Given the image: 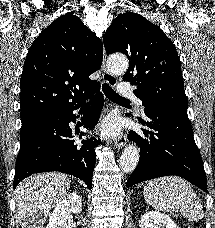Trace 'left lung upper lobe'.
<instances>
[{"instance_id": "left-lung-upper-lobe-1", "label": "left lung upper lobe", "mask_w": 215, "mask_h": 228, "mask_svg": "<svg viewBox=\"0 0 215 228\" xmlns=\"http://www.w3.org/2000/svg\"><path fill=\"white\" fill-rule=\"evenodd\" d=\"M107 53L121 52L129 59L124 81L136 85L134 94L144 107L188 106L181 63L175 45L143 16H117L103 37Z\"/></svg>"}]
</instances>
